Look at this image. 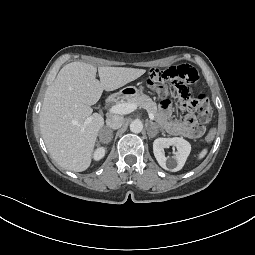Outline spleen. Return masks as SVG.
<instances>
[{"instance_id":"1","label":"spleen","mask_w":255,"mask_h":255,"mask_svg":"<svg viewBox=\"0 0 255 255\" xmlns=\"http://www.w3.org/2000/svg\"><path fill=\"white\" fill-rule=\"evenodd\" d=\"M208 153V148H204L201 150V152L198 154V160L203 159Z\"/></svg>"}]
</instances>
